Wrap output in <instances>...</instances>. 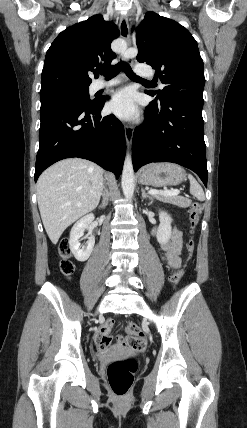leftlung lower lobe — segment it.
Masks as SVG:
<instances>
[{"mask_svg": "<svg viewBox=\"0 0 247 428\" xmlns=\"http://www.w3.org/2000/svg\"><path fill=\"white\" fill-rule=\"evenodd\" d=\"M203 102L183 96L145 109V122L133 134L134 170L151 162H173L194 171L207 187Z\"/></svg>", "mask_w": 247, "mask_h": 428, "instance_id": "0a47b994", "label": "left lung lower lobe"}]
</instances>
